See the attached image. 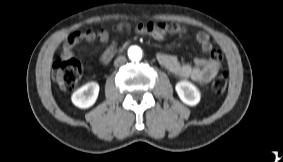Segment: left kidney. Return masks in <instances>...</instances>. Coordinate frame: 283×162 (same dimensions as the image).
Listing matches in <instances>:
<instances>
[{"label": "left kidney", "instance_id": "5707ae66", "mask_svg": "<svg viewBox=\"0 0 283 162\" xmlns=\"http://www.w3.org/2000/svg\"><path fill=\"white\" fill-rule=\"evenodd\" d=\"M175 90L181 101L189 106H195L200 101V92L191 82L180 81L176 84Z\"/></svg>", "mask_w": 283, "mask_h": 162}]
</instances>
